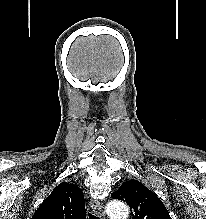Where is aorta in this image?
Here are the masks:
<instances>
[{"instance_id":"762f6f07","label":"aorta","mask_w":206,"mask_h":219,"mask_svg":"<svg viewBox=\"0 0 206 219\" xmlns=\"http://www.w3.org/2000/svg\"><path fill=\"white\" fill-rule=\"evenodd\" d=\"M106 211L111 219H127L129 214L128 206L124 202L118 200L109 202Z\"/></svg>"}]
</instances>
